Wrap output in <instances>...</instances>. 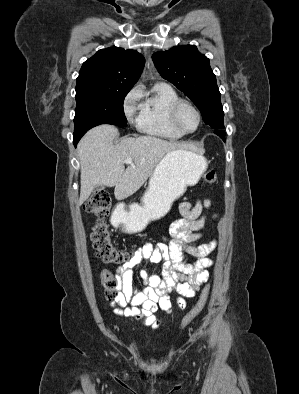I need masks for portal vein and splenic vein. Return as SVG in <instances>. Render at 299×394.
Instances as JSON below:
<instances>
[{
    "mask_svg": "<svg viewBox=\"0 0 299 394\" xmlns=\"http://www.w3.org/2000/svg\"><path fill=\"white\" fill-rule=\"evenodd\" d=\"M124 162H125L126 164H132L133 160H132V158H127V159H125Z\"/></svg>",
    "mask_w": 299,
    "mask_h": 394,
    "instance_id": "18ae733b",
    "label": "portal vein and splenic vein"
}]
</instances>
